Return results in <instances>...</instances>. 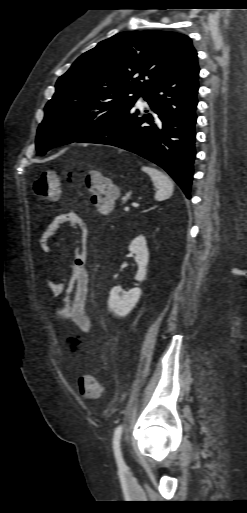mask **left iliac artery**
<instances>
[{
    "instance_id": "1",
    "label": "left iliac artery",
    "mask_w": 247,
    "mask_h": 513,
    "mask_svg": "<svg viewBox=\"0 0 247 513\" xmlns=\"http://www.w3.org/2000/svg\"><path fill=\"white\" fill-rule=\"evenodd\" d=\"M122 431H123L122 425H119L115 429L114 436H113V450H114V455H115V459H116L118 467L122 470H125V469H127V466L123 460L122 451H121Z\"/></svg>"
}]
</instances>
